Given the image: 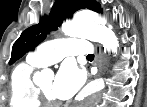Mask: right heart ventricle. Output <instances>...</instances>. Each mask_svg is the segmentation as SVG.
I'll use <instances>...</instances> for the list:
<instances>
[{
    "instance_id": "e07e8e85",
    "label": "right heart ventricle",
    "mask_w": 147,
    "mask_h": 107,
    "mask_svg": "<svg viewBox=\"0 0 147 107\" xmlns=\"http://www.w3.org/2000/svg\"><path fill=\"white\" fill-rule=\"evenodd\" d=\"M41 65L27 59L15 67L10 81V104L12 107H41L35 94L32 74Z\"/></svg>"
}]
</instances>
